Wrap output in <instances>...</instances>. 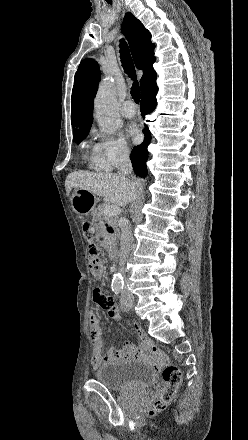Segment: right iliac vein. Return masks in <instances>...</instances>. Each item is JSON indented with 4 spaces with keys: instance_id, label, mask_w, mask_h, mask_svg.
<instances>
[{
    "instance_id": "obj_1",
    "label": "right iliac vein",
    "mask_w": 248,
    "mask_h": 440,
    "mask_svg": "<svg viewBox=\"0 0 248 440\" xmlns=\"http://www.w3.org/2000/svg\"><path fill=\"white\" fill-rule=\"evenodd\" d=\"M125 303H126V305H127L128 307L132 308V307L134 306V304H135V301H134L133 298H127V299L125 300Z\"/></svg>"
}]
</instances>
